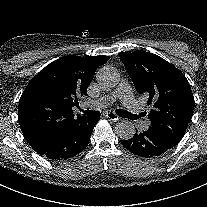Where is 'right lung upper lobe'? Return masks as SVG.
<instances>
[{"instance_id": "cb5924a9", "label": "right lung upper lobe", "mask_w": 207, "mask_h": 207, "mask_svg": "<svg viewBox=\"0 0 207 207\" xmlns=\"http://www.w3.org/2000/svg\"><path fill=\"white\" fill-rule=\"evenodd\" d=\"M109 56L75 55L59 58L43 68L19 100L18 120L29 144L37 149L49 143L77 117L72 108L87 95L96 69Z\"/></svg>"}]
</instances>
